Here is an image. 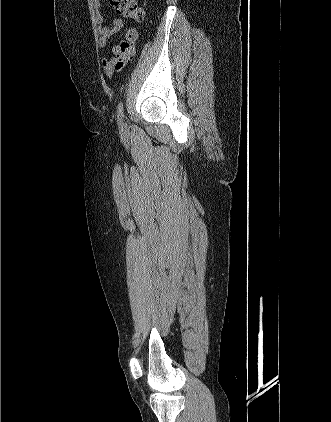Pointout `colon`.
<instances>
[{
	"instance_id": "obj_1",
	"label": "colon",
	"mask_w": 331,
	"mask_h": 422,
	"mask_svg": "<svg viewBox=\"0 0 331 422\" xmlns=\"http://www.w3.org/2000/svg\"><path fill=\"white\" fill-rule=\"evenodd\" d=\"M110 2L117 13L132 21H141L144 17L138 0H110Z\"/></svg>"
}]
</instances>
